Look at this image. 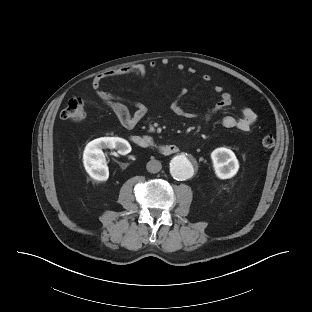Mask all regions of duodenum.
Returning a JSON list of instances; mask_svg holds the SVG:
<instances>
[{
	"mask_svg": "<svg viewBox=\"0 0 312 312\" xmlns=\"http://www.w3.org/2000/svg\"><path fill=\"white\" fill-rule=\"evenodd\" d=\"M130 141L137 147L154 150L164 155L175 154L179 151L177 144H158L148 136L134 135Z\"/></svg>",
	"mask_w": 312,
	"mask_h": 312,
	"instance_id": "duodenum-1",
	"label": "duodenum"
}]
</instances>
